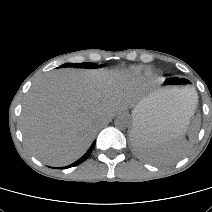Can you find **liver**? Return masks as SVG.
<instances>
[{
	"label": "liver",
	"mask_w": 212,
	"mask_h": 212,
	"mask_svg": "<svg viewBox=\"0 0 212 212\" xmlns=\"http://www.w3.org/2000/svg\"><path fill=\"white\" fill-rule=\"evenodd\" d=\"M136 84L113 70L63 69L34 82L20 128L27 149L52 166L68 165L91 145L98 125L136 103ZM182 128L186 113L176 103Z\"/></svg>",
	"instance_id": "obj_1"
}]
</instances>
